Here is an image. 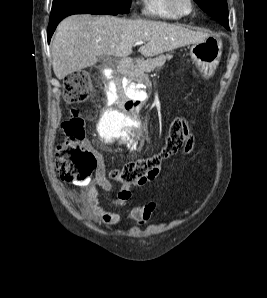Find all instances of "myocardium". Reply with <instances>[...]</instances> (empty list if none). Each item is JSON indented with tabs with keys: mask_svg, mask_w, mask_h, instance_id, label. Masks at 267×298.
I'll return each mask as SVG.
<instances>
[{
	"mask_svg": "<svg viewBox=\"0 0 267 298\" xmlns=\"http://www.w3.org/2000/svg\"><path fill=\"white\" fill-rule=\"evenodd\" d=\"M167 1V5L169 7V9L174 12L176 15H178L179 17H184V16H188L190 15L193 10H194V2L193 0H188V3H189V11L187 12H182L178 9L177 5H176V2L175 0H166Z\"/></svg>",
	"mask_w": 267,
	"mask_h": 298,
	"instance_id": "f54148a6",
	"label": "myocardium"
}]
</instances>
